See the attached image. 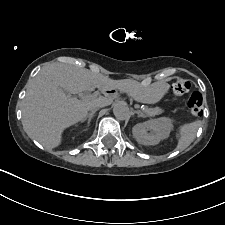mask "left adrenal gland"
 <instances>
[{
	"label": "left adrenal gland",
	"instance_id": "obj_1",
	"mask_svg": "<svg viewBox=\"0 0 225 225\" xmlns=\"http://www.w3.org/2000/svg\"><path fill=\"white\" fill-rule=\"evenodd\" d=\"M138 117L146 118L147 116L144 115L141 111H137Z\"/></svg>",
	"mask_w": 225,
	"mask_h": 225
}]
</instances>
